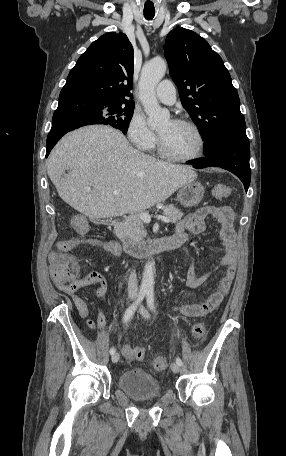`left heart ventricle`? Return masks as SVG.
Masks as SVG:
<instances>
[{
	"mask_svg": "<svg viewBox=\"0 0 286 456\" xmlns=\"http://www.w3.org/2000/svg\"><path fill=\"white\" fill-rule=\"evenodd\" d=\"M166 150L178 157H188L198 151L199 141L195 132L171 120L164 122L158 129Z\"/></svg>",
	"mask_w": 286,
	"mask_h": 456,
	"instance_id": "left-heart-ventricle-1",
	"label": "left heart ventricle"
}]
</instances>
